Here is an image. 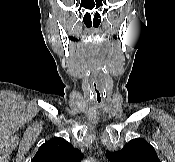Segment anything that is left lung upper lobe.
Listing matches in <instances>:
<instances>
[{"mask_svg":"<svg viewBox=\"0 0 175 162\" xmlns=\"http://www.w3.org/2000/svg\"><path fill=\"white\" fill-rule=\"evenodd\" d=\"M106 154L111 162H160L154 147L140 138L129 141L120 151Z\"/></svg>","mask_w":175,"mask_h":162,"instance_id":"5c2ea615","label":"left lung upper lobe"}]
</instances>
